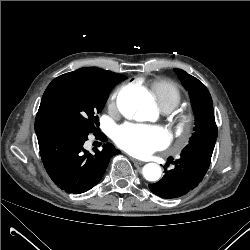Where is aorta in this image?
<instances>
[{
	"label": "aorta",
	"instance_id": "1",
	"mask_svg": "<svg viewBox=\"0 0 250 250\" xmlns=\"http://www.w3.org/2000/svg\"><path fill=\"white\" fill-rule=\"evenodd\" d=\"M148 91L137 85H131L122 90L118 98V107L121 113L137 120L151 119L155 114L153 104L148 103ZM143 175L148 181H157L161 176L158 164L149 163L143 167Z\"/></svg>",
	"mask_w": 250,
	"mask_h": 250
}]
</instances>
